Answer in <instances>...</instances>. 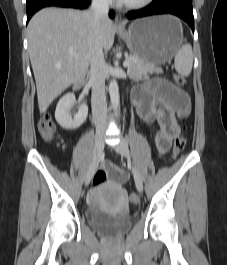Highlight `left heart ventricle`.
I'll list each match as a JSON object with an SVG mask.
<instances>
[{"label": "left heart ventricle", "instance_id": "left-heart-ventricle-1", "mask_svg": "<svg viewBox=\"0 0 227 265\" xmlns=\"http://www.w3.org/2000/svg\"><path fill=\"white\" fill-rule=\"evenodd\" d=\"M141 0H124L123 2H126V3H136V2H139Z\"/></svg>", "mask_w": 227, "mask_h": 265}]
</instances>
